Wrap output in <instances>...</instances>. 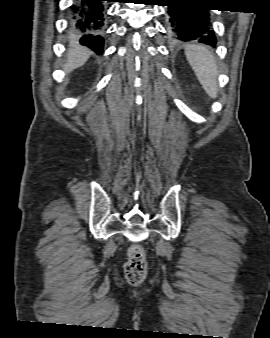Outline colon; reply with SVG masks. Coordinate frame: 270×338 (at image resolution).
Masks as SVG:
<instances>
[{
	"instance_id": "5ec220e1",
	"label": "colon",
	"mask_w": 270,
	"mask_h": 338,
	"mask_svg": "<svg viewBox=\"0 0 270 338\" xmlns=\"http://www.w3.org/2000/svg\"><path fill=\"white\" fill-rule=\"evenodd\" d=\"M124 271L126 279L131 285H138L144 279L146 259L144 250L140 245L134 244L129 247Z\"/></svg>"
}]
</instances>
